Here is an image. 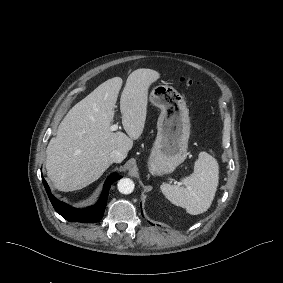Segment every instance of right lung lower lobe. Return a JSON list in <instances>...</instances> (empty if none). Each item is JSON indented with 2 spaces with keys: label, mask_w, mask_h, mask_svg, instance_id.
I'll list each match as a JSON object with an SVG mask.
<instances>
[{
  "label": "right lung lower lobe",
  "mask_w": 283,
  "mask_h": 283,
  "mask_svg": "<svg viewBox=\"0 0 283 283\" xmlns=\"http://www.w3.org/2000/svg\"><path fill=\"white\" fill-rule=\"evenodd\" d=\"M120 176L117 173H112L106 180L104 184V189L101 194L99 201L88 208L85 209H76L73 208L66 203H63L57 200L50 192L49 186L45 179L42 177V181L44 187L47 191L49 199L54 207V209L66 220L70 222H87V223H95L102 219L107 199H108V192L110 189L111 184L118 180Z\"/></svg>",
  "instance_id": "1"
}]
</instances>
